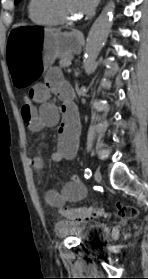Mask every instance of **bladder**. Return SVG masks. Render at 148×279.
Returning a JSON list of instances; mask_svg holds the SVG:
<instances>
[{
    "instance_id": "1",
    "label": "bladder",
    "mask_w": 148,
    "mask_h": 279,
    "mask_svg": "<svg viewBox=\"0 0 148 279\" xmlns=\"http://www.w3.org/2000/svg\"><path fill=\"white\" fill-rule=\"evenodd\" d=\"M55 229L60 238L75 237L86 242L102 241L109 235L106 224L87 220H60Z\"/></svg>"
}]
</instances>
